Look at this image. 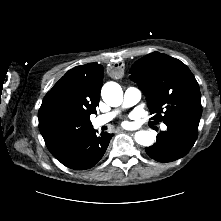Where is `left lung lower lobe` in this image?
Returning a JSON list of instances; mask_svg holds the SVG:
<instances>
[{
    "mask_svg": "<svg viewBox=\"0 0 221 221\" xmlns=\"http://www.w3.org/2000/svg\"><path fill=\"white\" fill-rule=\"evenodd\" d=\"M200 118L191 116L165 122L167 130L157 135L154 145L145 148L147 155L158 162L184 157L197 139Z\"/></svg>",
    "mask_w": 221,
    "mask_h": 221,
    "instance_id": "obj_1",
    "label": "left lung lower lobe"
}]
</instances>
